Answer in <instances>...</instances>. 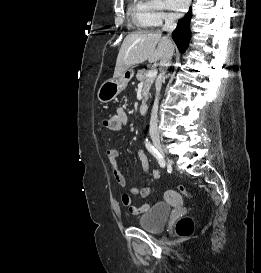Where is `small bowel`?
I'll list each match as a JSON object with an SVG mask.
<instances>
[{"label":"small bowel","instance_id":"c3829d8e","mask_svg":"<svg viewBox=\"0 0 261 273\" xmlns=\"http://www.w3.org/2000/svg\"><path fill=\"white\" fill-rule=\"evenodd\" d=\"M117 117L120 118L121 127L124 125H127L129 122V116L127 112L123 108H118L115 114ZM107 159L109 160L112 169H113V175L116 183L120 187L126 186V177L121 170L119 164H118V158L120 155V152L116 148H110L106 152ZM141 173L145 179L144 184L141 186L140 189L137 187H130L126 193H124L121 197L122 204L126 207H128L130 213L134 215H138L141 213H144L149 207V203H145L141 206H135L132 204L131 195H138L140 194L143 198H146L150 194V185H149V163L147 159V155L143 149H140L137 153ZM156 177H158V174H156Z\"/></svg>","mask_w":261,"mask_h":273}]
</instances>
